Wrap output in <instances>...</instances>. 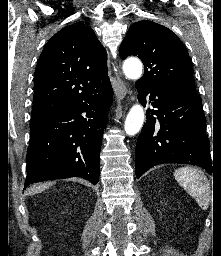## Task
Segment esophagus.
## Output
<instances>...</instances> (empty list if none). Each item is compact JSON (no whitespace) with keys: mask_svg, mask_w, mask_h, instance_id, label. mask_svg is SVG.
Listing matches in <instances>:
<instances>
[{"mask_svg":"<svg viewBox=\"0 0 221 256\" xmlns=\"http://www.w3.org/2000/svg\"><path fill=\"white\" fill-rule=\"evenodd\" d=\"M115 70H116V68H115ZM117 82H118V94H119V97L121 99H123L126 96V94H127L126 84L119 77H117Z\"/></svg>","mask_w":221,"mask_h":256,"instance_id":"34e87169","label":"esophagus"}]
</instances>
